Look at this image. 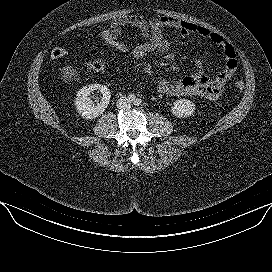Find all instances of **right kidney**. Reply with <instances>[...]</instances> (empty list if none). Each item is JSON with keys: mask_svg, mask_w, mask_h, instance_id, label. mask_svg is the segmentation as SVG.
<instances>
[{"mask_svg": "<svg viewBox=\"0 0 272 272\" xmlns=\"http://www.w3.org/2000/svg\"><path fill=\"white\" fill-rule=\"evenodd\" d=\"M93 91L102 94L100 101L95 103L89 95ZM75 98L74 105L77 112L85 119H94L103 114L110 102V90L107 86L101 84H91L81 88Z\"/></svg>", "mask_w": 272, "mask_h": 272, "instance_id": "1", "label": "right kidney"}]
</instances>
